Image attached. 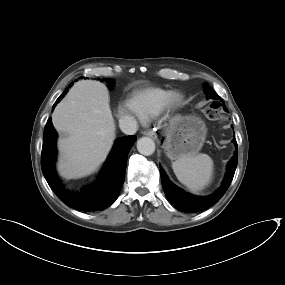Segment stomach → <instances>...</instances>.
<instances>
[{
  "label": "stomach",
  "mask_w": 285,
  "mask_h": 285,
  "mask_svg": "<svg viewBox=\"0 0 285 285\" xmlns=\"http://www.w3.org/2000/svg\"><path fill=\"white\" fill-rule=\"evenodd\" d=\"M206 133V126L199 117L176 118L166 129L165 154L171 160H177L183 155L197 153L205 142Z\"/></svg>",
  "instance_id": "1"
}]
</instances>
